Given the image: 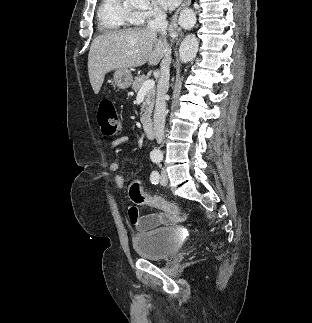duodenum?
I'll return each instance as SVG.
<instances>
[{"label":"duodenum","mask_w":312,"mask_h":323,"mask_svg":"<svg viewBox=\"0 0 312 323\" xmlns=\"http://www.w3.org/2000/svg\"><path fill=\"white\" fill-rule=\"evenodd\" d=\"M141 126H142V130H143L145 136H147L149 139L155 138V133H154L153 124H152L151 119H149L147 117L142 118Z\"/></svg>","instance_id":"1"}]
</instances>
